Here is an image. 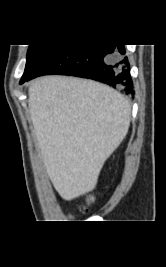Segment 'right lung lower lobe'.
<instances>
[{"mask_svg":"<svg viewBox=\"0 0 166 267\" xmlns=\"http://www.w3.org/2000/svg\"><path fill=\"white\" fill-rule=\"evenodd\" d=\"M124 55V45H53L20 84L42 75H73L106 83L133 96L130 64Z\"/></svg>","mask_w":166,"mask_h":267,"instance_id":"obj_1","label":"right lung lower lobe"}]
</instances>
